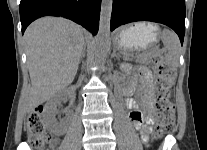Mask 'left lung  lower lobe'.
Returning a JSON list of instances; mask_svg holds the SVG:
<instances>
[{
	"mask_svg": "<svg viewBox=\"0 0 207 150\" xmlns=\"http://www.w3.org/2000/svg\"><path fill=\"white\" fill-rule=\"evenodd\" d=\"M152 21L172 28L183 44L185 34L184 0H113L111 31L120 25Z\"/></svg>",
	"mask_w": 207,
	"mask_h": 150,
	"instance_id": "left-lung-lower-lobe-1",
	"label": "left lung lower lobe"
}]
</instances>
